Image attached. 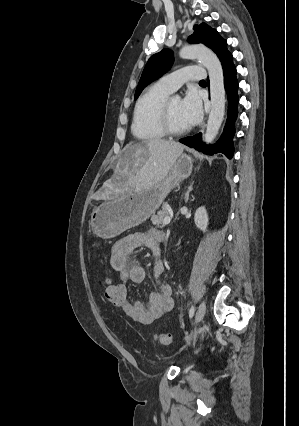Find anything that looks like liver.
Returning a JSON list of instances; mask_svg holds the SVG:
<instances>
[{
  "instance_id": "1",
  "label": "liver",
  "mask_w": 299,
  "mask_h": 426,
  "mask_svg": "<svg viewBox=\"0 0 299 426\" xmlns=\"http://www.w3.org/2000/svg\"><path fill=\"white\" fill-rule=\"evenodd\" d=\"M183 150L182 144L163 139L130 143L116 165L115 176L127 178V186L134 190L147 189L168 175Z\"/></svg>"
}]
</instances>
